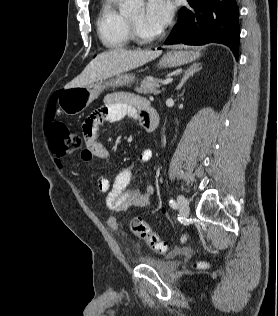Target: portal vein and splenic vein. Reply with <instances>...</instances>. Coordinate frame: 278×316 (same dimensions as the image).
<instances>
[{
	"instance_id": "portal-vein-and-splenic-vein-1",
	"label": "portal vein and splenic vein",
	"mask_w": 278,
	"mask_h": 316,
	"mask_svg": "<svg viewBox=\"0 0 278 316\" xmlns=\"http://www.w3.org/2000/svg\"><path fill=\"white\" fill-rule=\"evenodd\" d=\"M172 81H173L172 78H168V79L164 80V81L162 82V84H163V85H167V84L171 83Z\"/></svg>"
}]
</instances>
